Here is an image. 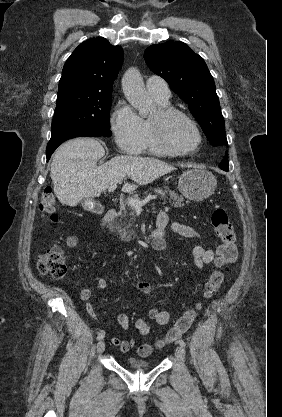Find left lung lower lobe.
Masks as SVG:
<instances>
[{
  "instance_id": "0a47b994",
  "label": "left lung lower lobe",
  "mask_w": 282,
  "mask_h": 417,
  "mask_svg": "<svg viewBox=\"0 0 282 417\" xmlns=\"http://www.w3.org/2000/svg\"><path fill=\"white\" fill-rule=\"evenodd\" d=\"M220 168L223 169V170H225V171H228L229 170L227 157H225V159L220 164Z\"/></svg>"
}]
</instances>
